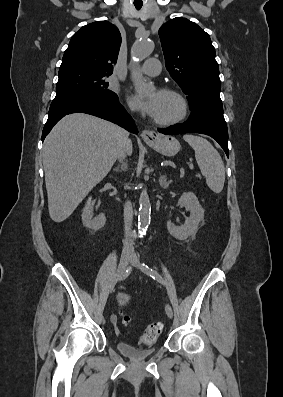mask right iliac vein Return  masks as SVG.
I'll use <instances>...</instances> for the list:
<instances>
[{
    "instance_id": "63e3f726",
    "label": "right iliac vein",
    "mask_w": 283,
    "mask_h": 397,
    "mask_svg": "<svg viewBox=\"0 0 283 397\" xmlns=\"http://www.w3.org/2000/svg\"><path fill=\"white\" fill-rule=\"evenodd\" d=\"M129 254L128 253H124L121 256L117 271L114 275V278L111 280L110 284H109V290L110 292L113 290L115 284L117 283V281L122 277V275L125 272L126 266L128 264L129 261Z\"/></svg>"
}]
</instances>
